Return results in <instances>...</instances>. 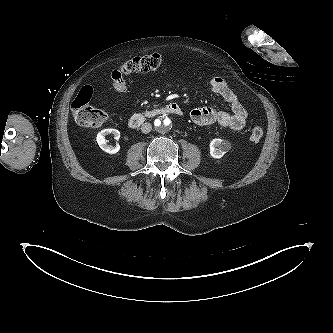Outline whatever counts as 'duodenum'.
<instances>
[{
  "mask_svg": "<svg viewBox=\"0 0 333 333\" xmlns=\"http://www.w3.org/2000/svg\"><path fill=\"white\" fill-rule=\"evenodd\" d=\"M163 114H172L180 116L183 114V110L178 103L171 102L160 108L150 109L133 114L128 121V125L130 128L136 129L140 127L147 119Z\"/></svg>",
  "mask_w": 333,
  "mask_h": 333,
  "instance_id": "410a0bca",
  "label": "duodenum"
}]
</instances>
